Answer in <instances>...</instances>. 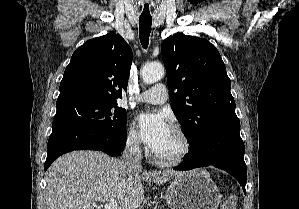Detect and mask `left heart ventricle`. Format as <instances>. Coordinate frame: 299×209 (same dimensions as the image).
<instances>
[{"label":"left heart ventricle","instance_id":"left-heart-ventricle-1","mask_svg":"<svg viewBox=\"0 0 299 209\" xmlns=\"http://www.w3.org/2000/svg\"><path fill=\"white\" fill-rule=\"evenodd\" d=\"M182 148V142L178 135L170 129L163 141L153 150L156 154L169 157L177 154Z\"/></svg>","mask_w":299,"mask_h":209}]
</instances>
